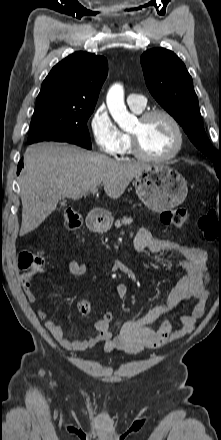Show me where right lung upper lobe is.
Segmentation results:
<instances>
[{"instance_id": "cb5924a9", "label": "right lung upper lobe", "mask_w": 221, "mask_h": 440, "mask_svg": "<svg viewBox=\"0 0 221 440\" xmlns=\"http://www.w3.org/2000/svg\"><path fill=\"white\" fill-rule=\"evenodd\" d=\"M108 73L106 58L82 51L55 65L42 83L36 104L52 101L95 107Z\"/></svg>"}]
</instances>
